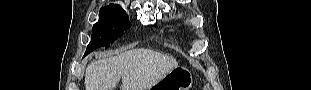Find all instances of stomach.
Instances as JSON below:
<instances>
[{"mask_svg":"<svg viewBox=\"0 0 311 90\" xmlns=\"http://www.w3.org/2000/svg\"><path fill=\"white\" fill-rule=\"evenodd\" d=\"M193 76L189 69L177 66L148 90H190Z\"/></svg>","mask_w":311,"mask_h":90,"instance_id":"1","label":"stomach"}]
</instances>
